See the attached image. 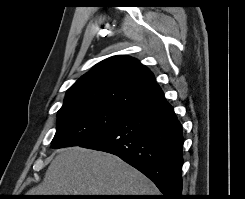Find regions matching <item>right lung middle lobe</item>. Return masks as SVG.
Instances as JSON below:
<instances>
[{
    "label": "right lung middle lobe",
    "instance_id": "obj_1",
    "mask_svg": "<svg viewBox=\"0 0 245 199\" xmlns=\"http://www.w3.org/2000/svg\"><path fill=\"white\" fill-rule=\"evenodd\" d=\"M128 114L95 105H79L58 111L51 147L80 146L121 122Z\"/></svg>",
    "mask_w": 245,
    "mask_h": 199
}]
</instances>
